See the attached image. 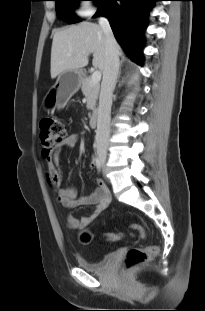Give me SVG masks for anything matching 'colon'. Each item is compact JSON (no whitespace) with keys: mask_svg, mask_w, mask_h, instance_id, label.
<instances>
[{"mask_svg":"<svg viewBox=\"0 0 205 311\" xmlns=\"http://www.w3.org/2000/svg\"><path fill=\"white\" fill-rule=\"evenodd\" d=\"M65 137V125L59 118L46 117L40 121V141L42 145V155L45 158H49L52 147L61 143ZM130 227L138 236H145L144 228L141 225L131 224ZM121 238L122 235L120 233H108L104 235V239L109 242H117L120 241ZM90 239L91 234L83 229L81 232L82 242L87 243ZM157 253L158 248L156 246L130 248L122 261V269L124 271H129L139 265L145 264L155 257Z\"/></svg>","mask_w":205,"mask_h":311,"instance_id":"colon-1","label":"colon"}]
</instances>
